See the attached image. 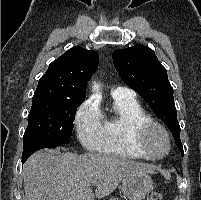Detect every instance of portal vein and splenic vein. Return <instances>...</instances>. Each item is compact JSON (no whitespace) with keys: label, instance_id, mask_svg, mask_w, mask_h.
<instances>
[{"label":"portal vein and splenic vein","instance_id":"18ae733b","mask_svg":"<svg viewBox=\"0 0 201 200\" xmlns=\"http://www.w3.org/2000/svg\"><path fill=\"white\" fill-rule=\"evenodd\" d=\"M97 184V182L96 181H92V185H96Z\"/></svg>","mask_w":201,"mask_h":200}]
</instances>
